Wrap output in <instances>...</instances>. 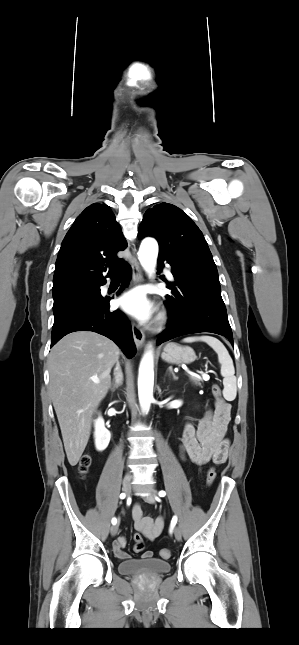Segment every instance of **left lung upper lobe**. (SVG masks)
<instances>
[{
    "instance_id": "left-lung-upper-lobe-1",
    "label": "left lung upper lobe",
    "mask_w": 299,
    "mask_h": 645,
    "mask_svg": "<svg viewBox=\"0 0 299 645\" xmlns=\"http://www.w3.org/2000/svg\"><path fill=\"white\" fill-rule=\"evenodd\" d=\"M147 236L158 241L159 259L183 261L196 267L217 270L202 232L175 205L161 203L146 211L138 238Z\"/></svg>"
}]
</instances>
